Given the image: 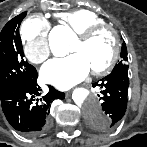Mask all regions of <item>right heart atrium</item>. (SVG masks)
I'll use <instances>...</instances> for the list:
<instances>
[{
    "label": "right heart atrium",
    "instance_id": "1",
    "mask_svg": "<svg viewBox=\"0 0 147 147\" xmlns=\"http://www.w3.org/2000/svg\"><path fill=\"white\" fill-rule=\"evenodd\" d=\"M50 28L49 22L41 16L31 17L23 23L21 38L24 54L32 63L40 64L49 57L48 35Z\"/></svg>",
    "mask_w": 147,
    "mask_h": 147
}]
</instances>
